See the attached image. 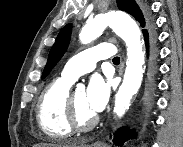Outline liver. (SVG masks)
<instances>
[{
	"mask_svg": "<svg viewBox=\"0 0 183 147\" xmlns=\"http://www.w3.org/2000/svg\"><path fill=\"white\" fill-rule=\"evenodd\" d=\"M33 147H86V145L79 141H67L57 144L40 143L34 145Z\"/></svg>",
	"mask_w": 183,
	"mask_h": 147,
	"instance_id": "1",
	"label": "liver"
}]
</instances>
